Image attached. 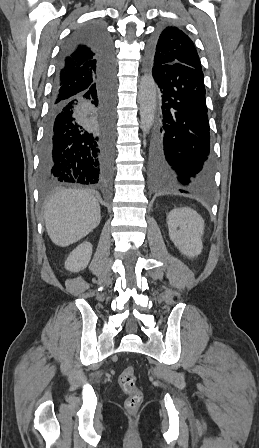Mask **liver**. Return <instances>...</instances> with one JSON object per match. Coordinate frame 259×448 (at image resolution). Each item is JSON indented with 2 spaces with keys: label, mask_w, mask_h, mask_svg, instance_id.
I'll return each instance as SVG.
<instances>
[{
  "label": "liver",
  "mask_w": 259,
  "mask_h": 448,
  "mask_svg": "<svg viewBox=\"0 0 259 448\" xmlns=\"http://www.w3.org/2000/svg\"><path fill=\"white\" fill-rule=\"evenodd\" d=\"M45 224L56 246L78 242L100 224V206L84 190H58L45 206Z\"/></svg>",
  "instance_id": "1"
}]
</instances>
